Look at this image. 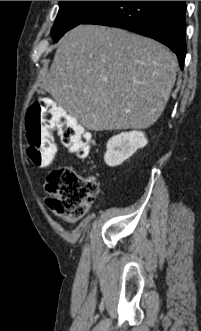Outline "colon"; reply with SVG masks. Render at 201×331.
<instances>
[{"label": "colon", "instance_id": "1", "mask_svg": "<svg viewBox=\"0 0 201 331\" xmlns=\"http://www.w3.org/2000/svg\"><path fill=\"white\" fill-rule=\"evenodd\" d=\"M52 131H56L63 145L79 157H85L94 144L90 134L84 131L77 120L53 100H37L27 111L26 132L28 157L39 167L48 166L54 161L56 147ZM46 190L49 193L46 205L50 210L66 221L76 222L93 203L99 190V181L94 175L59 167L48 175Z\"/></svg>", "mask_w": 201, "mask_h": 331}]
</instances>
